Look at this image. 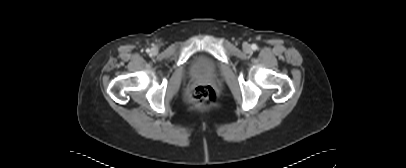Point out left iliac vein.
Returning a JSON list of instances; mask_svg holds the SVG:
<instances>
[{
    "mask_svg": "<svg viewBox=\"0 0 406 168\" xmlns=\"http://www.w3.org/2000/svg\"><path fill=\"white\" fill-rule=\"evenodd\" d=\"M243 50L246 53H250L251 52V46L249 44H244Z\"/></svg>",
    "mask_w": 406,
    "mask_h": 168,
    "instance_id": "1",
    "label": "left iliac vein"
}]
</instances>
